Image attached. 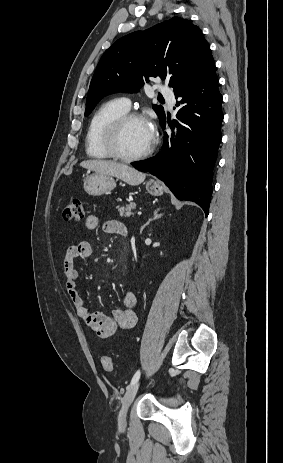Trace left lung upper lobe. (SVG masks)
Listing matches in <instances>:
<instances>
[{
    "label": "left lung upper lobe",
    "mask_w": 283,
    "mask_h": 463,
    "mask_svg": "<svg viewBox=\"0 0 283 463\" xmlns=\"http://www.w3.org/2000/svg\"><path fill=\"white\" fill-rule=\"evenodd\" d=\"M213 63L199 27L179 17L118 39L101 57L91 80L85 116L106 95L137 92L149 77L168 79L176 91ZM160 122L164 109L153 105Z\"/></svg>",
    "instance_id": "obj_1"
}]
</instances>
